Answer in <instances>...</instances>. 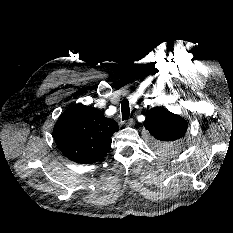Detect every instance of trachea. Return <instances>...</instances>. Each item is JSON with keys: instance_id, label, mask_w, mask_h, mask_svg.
Wrapping results in <instances>:
<instances>
[{"instance_id": "obj_1", "label": "trachea", "mask_w": 233, "mask_h": 233, "mask_svg": "<svg viewBox=\"0 0 233 233\" xmlns=\"http://www.w3.org/2000/svg\"><path fill=\"white\" fill-rule=\"evenodd\" d=\"M121 112H122V120L126 121L129 119L130 108L129 101L127 99H123L121 102Z\"/></svg>"}]
</instances>
